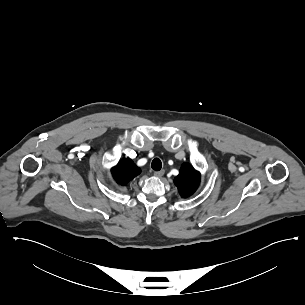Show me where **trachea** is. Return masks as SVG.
Here are the masks:
<instances>
[{"label": "trachea", "mask_w": 305, "mask_h": 305, "mask_svg": "<svg viewBox=\"0 0 305 305\" xmlns=\"http://www.w3.org/2000/svg\"><path fill=\"white\" fill-rule=\"evenodd\" d=\"M151 167L153 170L155 171H159L162 168V162L159 158H155L152 163H151Z\"/></svg>", "instance_id": "obj_1"}]
</instances>
